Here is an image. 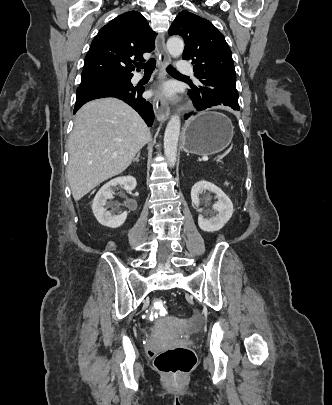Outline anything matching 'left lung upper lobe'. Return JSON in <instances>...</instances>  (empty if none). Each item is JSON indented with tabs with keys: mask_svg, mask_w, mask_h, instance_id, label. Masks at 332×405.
Here are the masks:
<instances>
[{
	"mask_svg": "<svg viewBox=\"0 0 332 405\" xmlns=\"http://www.w3.org/2000/svg\"><path fill=\"white\" fill-rule=\"evenodd\" d=\"M169 35L182 36L183 59L194 64V74L200 82L191 85L190 94L200 100L204 109L227 106L239 110L232 53L223 34L208 20L182 11L172 23Z\"/></svg>",
	"mask_w": 332,
	"mask_h": 405,
	"instance_id": "1",
	"label": "left lung upper lobe"
}]
</instances>
